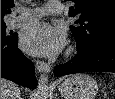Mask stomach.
I'll return each instance as SVG.
<instances>
[{
  "label": "stomach",
  "instance_id": "obj_1",
  "mask_svg": "<svg viewBox=\"0 0 115 99\" xmlns=\"http://www.w3.org/2000/svg\"><path fill=\"white\" fill-rule=\"evenodd\" d=\"M65 99H94L97 82L87 74H75L64 80L58 87Z\"/></svg>",
  "mask_w": 115,
  "mask_h": 99
}]
</instances>
